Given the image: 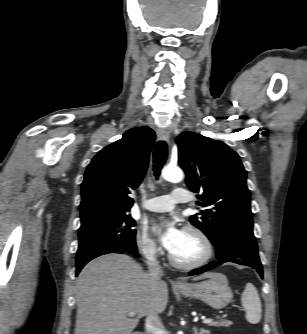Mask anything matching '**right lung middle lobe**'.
<instances>
[{
	"instance_id": "dd1d6c3e",
	"label": "right lung middle lobe",
	"mask_w": 307,
	"mask_h": 334,
	"mask_svg": "<svg viewBox=\"0 0 307 334\" xmlns=\"http://www.w3.org/2000/svg\"><path fill=\"white\" fill-rule=\"evenodd\" d=\"M134 219L127 213H96L81 217L76 264L110 250L136 247Z\"/></svg>"
}]
</instances>
